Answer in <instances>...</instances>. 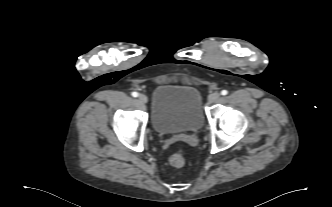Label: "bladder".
Wrapping results in <instances>:
<instances>
[{"mask_svg":"<svg viewBox=\"0 0 332 207\" xmlns=\"http://www.w3.org/2000/svg\"><path fill=\"white\" fill-rule=\"evenodd\" d=\"M204 123L202 96L192 86L162 84L152 95L151 124L161 134L196 132Z\"/></svg>","mask_w":332,"mask_h":207,"instance_id":"1","label":"bladder"}]
</instances>
